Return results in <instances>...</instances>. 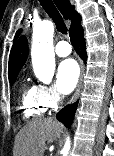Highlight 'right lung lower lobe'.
<instances>
[{
	"label": "right lung lower lobe",
	"instance_id": "98d812e1",
	"mask_svg": "<svg viewBox=\"0 0 114 156\" xmlns=\"http://www.w3.org/2000/svg\"><path fill=\"white\" fill-rule=\"evenodd\" d=\"M70 38H71V43L73 47L75 48L76 52L85 61L86 60V47H85V41L83 37V29L80 24L70 31ZM76 108H77V102H75L71 106H67L63 108L57 114V119L61 121L67 128H69L74 118Z\"/></svg>",
	"mask_w": 114,
	"mask_h": 156
}]
</instances>
